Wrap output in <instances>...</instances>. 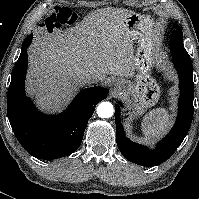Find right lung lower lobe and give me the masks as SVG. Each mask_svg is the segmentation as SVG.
Here are the masks:
<instances>
[{
  "instance_id": "obj_1",
  "label": "right lung lower lobe",
  "mask_w": 199,
  "mask_h": 199,
  "mask_svg": "<svg viewBox=\"0 0 199 199\" xmlns=\"http://www.w3.org/2000/svg\"><path fill=\"white\" fill-rule=\"evenodd\" d=\"M28 36L13 69L7 94V115L20 144L38 159L52 160L73 153L81 144L88 120L96 105L106 98L108 90L91 87L78 93L66 111L45 115L37 111L24 91L28 66Z\"/></svg>"
}]
</instances>
